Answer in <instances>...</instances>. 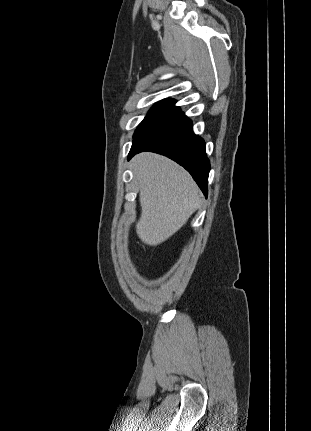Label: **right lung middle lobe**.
Wrapping results in <instances>:
<instances>
[{"mask_svg": "<svg viewBox=\"0 0 311 431\" xmlns=\"http://www.w3.org/2000/svg\"><path fill=\"white\" fill-rule=\"evenodd\" d=\"M175 102L176 101L174 99H164L156 103L151 108L144 120L138 125L133 135V138H135L148 124H150L153 120L160 116L165 110L173 106Z\"/></svg>", "mask_w": 311, "mask_h": 431, "instance_id": "obj_1", "label": "right lung middle lobe"}]
</instances>
